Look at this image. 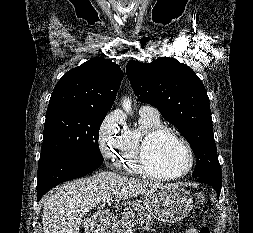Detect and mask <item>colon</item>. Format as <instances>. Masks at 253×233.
I'll list each match as a JSON object with an SVG mask.
<instances>
[{"instance_id": "colon-1", "label": "colon", "mask_w": 253, "mask_h": 233, "mask_svg": "<svg viewBox=\"0 0 253 233\" xmlns=\"http://www.w3.org/2000/svg\"><path fill=\"white\" fill-rule=\"evenodd\" d=\"M196 200L202 202L204 200V195L202 193L196 194ZM198 233H211L210 228L206 224H202Z\"/></svg>"}]
</instances>
